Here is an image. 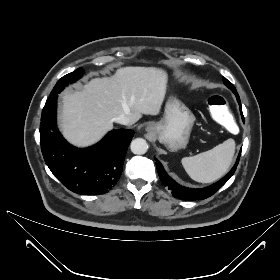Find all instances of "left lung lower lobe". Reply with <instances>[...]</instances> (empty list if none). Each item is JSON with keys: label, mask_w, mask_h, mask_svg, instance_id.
I'll return each mask as SVG.
<instances>
[{"label": "left lung lower lobe", "mask_w": 280, "mask_h": 280, "mask_svg": "<svg viewBox=\"0 0 280 280\" xmlns=\"http://www.w3.org/2000/svg\"><path fill=\"white\" fill-rule=\"evenodd\" d=\"M236 97H237V101L241 107L239 95L238 96L236 95ZM241 113H242V109H241ZM242 118L244 120L243 114H242ZM239 159H240V153L238 155L235 165L230 170V172L227 175H225V177H223L221 180H219L215 184L210 185L205 188H201V189L186 188V187L179 185L166 174L162 165L157 160H156V166H157V171H158L160 180L162 181L164 186H167L168 189L171 190V193L175 198H178L181 200H186V201L202 200V199L208 198L211 195H213L228 181V179L234 174V172L237 168Z\"/></svg>", "instance_id": "obj_1"}]
</instances>
